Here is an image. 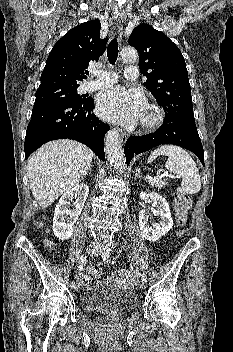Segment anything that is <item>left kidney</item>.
I'll return each instance as SVG.
<instances>
[{"instance_id": "obj_1", "label": "left kidney", "mask_w": 233, "mask_h": 352, "mask_svg": "<svg viewBox=\"0 0 233 352\" xmlns=\"http://www.w3.org/2000/svg\"><path fill=\"white\" fill-rule=\"evenodd\" d=\"M139 197L142 200L150 199L152 206L156 208V214L161 219L159 223L150 226L145 210H141L139 212V227L141 234L148 241H156L160 237L164 236L172 228L173 225L168 202L164 197L160 196L156 192H141Z\"/></svg>"}]
</instances>
